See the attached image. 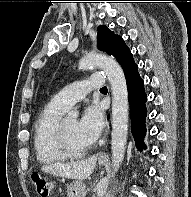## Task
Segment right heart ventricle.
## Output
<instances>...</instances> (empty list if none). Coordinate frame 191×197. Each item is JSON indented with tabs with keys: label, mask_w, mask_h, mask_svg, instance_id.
Segmentation results:
<instances>
[{
	"label": "right heart ventricle",
	"mask_w": 191,
	"mask_h": 197,
	"mask_svg": "<svg viewBox=\"0 0 191 197\" xmlns=\"http://www.w3.org/2000/svg\"><path fill=\"white\" fill-rule=\"evenodd\" d=\"M65 111L50 101L35 122L33 146L36 158L42 164L53 165L67 160L56 140L57 126Z\"/></svg>",
	"instance_id": "1"
}]
</instances>
